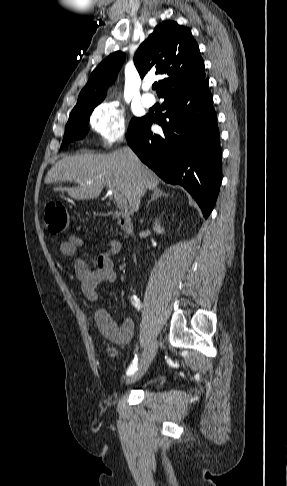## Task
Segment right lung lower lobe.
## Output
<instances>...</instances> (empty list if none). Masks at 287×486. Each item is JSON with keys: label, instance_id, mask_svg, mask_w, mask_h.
<instances>
[{"label": "right lung lower lobe", "instance_id": "98d812e1", "mask_svg": "<svg viewBox=\"0 0 287 486\" xmlns=\"http://www.w3.org/2000/svg\"><path fill=\"white\" fill-rule=\"evenodd\" d=\"M160 97L165 114L160 120L151 114L144 116L127 135L128 144L164 181L183 186L207 218L222 179L219 130L209 81L204 79ZM153 123L162 126V135L152 134Z\"/></svg>", "mask_w": 287, "mask_h": 486}]
</instances>
